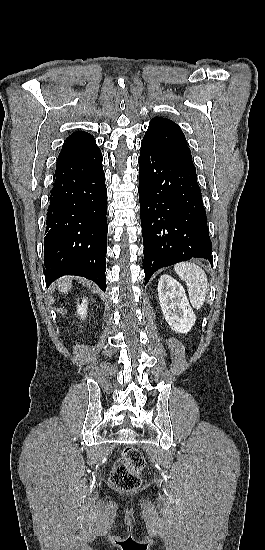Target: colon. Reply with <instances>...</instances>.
Instances as JSON below:
<instances>
[{"label": "colon", "mask_w": 265, "mask_h": 550, "mask_svg": "<svg viewBox=\"0 0 265 550\" xmlns=\"http://www.w3.org/2000/svg\"><path fill=\"white\" fill-rule=\"evenodd\" d=\"M145 467V458L140 450L127 447L115 461L110 482L119 490H133L140 486L141 472Z\"/></svg>", "instance_id": "5ec220e1"}]
</instances>
